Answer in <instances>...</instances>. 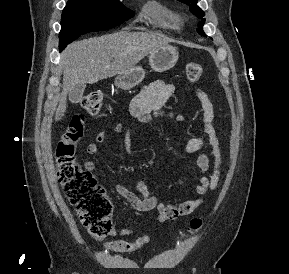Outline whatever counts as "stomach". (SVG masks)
<instances>
[{
	"instance_id": "0dacf381",
	"label": "stomach",
	"mask_w": 289,
	"mask_h": 274,
	"mask_svg": "<svg viewBox=\"0 0 289 274\" xmlns=\"http://www.w3.org/2000/svg\"><path fill=\"white\" fill-rule=\"evenodd\" d=\"M177 61L178 51L170 45H165L149 55V64L157 72L171 69ZM144 76V69L140 66H134L128 72L119 74L115 79V85L120 89L129 90L141 83Z\"/></svg>"
}]
</instances>
